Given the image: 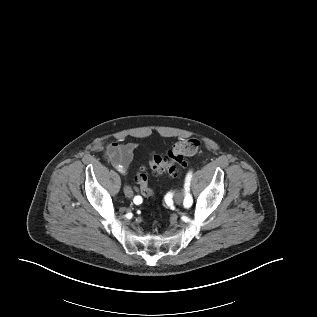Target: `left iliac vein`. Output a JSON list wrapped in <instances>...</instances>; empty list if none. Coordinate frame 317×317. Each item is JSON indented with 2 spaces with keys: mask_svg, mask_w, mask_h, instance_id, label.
Wrapping results in <instances>:
<instances>
[{
  "mask_svg": "<svg viewBox=\"0 0 317 317\" xmlns=\"http://www.w3.org/2000/svg\"><path fill=\"white\" fill-rule=\"evenodd\" d=\"M184 196H183V194L181 193V192H177L176 194H175V196H174V200H175V202L177 203V204H181V203H183V201H184Z\"/></svg>",
  "mask_w": 317,
  "mask_h": 317,
  "instance_id": "obj_1",
  "label": "left iliac vein"
}]
</instances>
